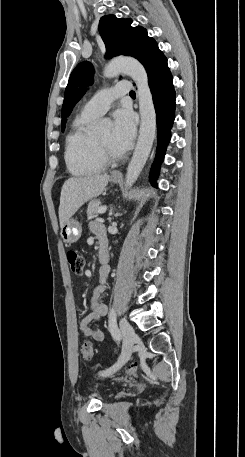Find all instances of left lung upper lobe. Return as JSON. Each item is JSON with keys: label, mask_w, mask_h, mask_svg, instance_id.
<instances>
[{"label": "left lung upper lobe", "mask_w": 245, "mask_h": 457, "mask_svg": "<svg viewBox=\"0 0 245 457\" xmlns=\"http://www.w3.org/2000/svg\"><path fill=\"white\" fill-rule=\"evenodd\" d=\"M131 23V19H120L114 15H106L100 19L99 32L105 43L106 58L126 55L142 63L151 52L158 49L156 41L147 35L145 28L132 27ZM93 73V66L87 61L78 64L72 71L62 106V131L65 118L85 94L87 87L93 83Z\"/></svg>", "instance_id": "left-lung-upper-lobe-1"}]
</instances>
